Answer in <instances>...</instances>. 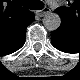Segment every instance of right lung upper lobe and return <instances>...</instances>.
Returning a JSON list of instances; mask_svg holds the SVG:
<instances>
[{"mask_svg": "<svg viewBox=\"0 0 80 80\" xmlns=\"http://www.w3.org/2000/svg\"><path fill=\"white\" fill-rule=\"evenodd\" d=\"M14 22H16V24H17V22H18L17 27H19V28L23 26V25H22L23 23L19 22V20H18V21H14ZM26 25H27V24H25L24 26H26ZM24 26H23V27H24Z\"/></svg>", "mask_w": 80, "mask_h": 80, "instance_id": "right-lung-upper-lobe-1", "label": "right lung upper lobe"}]
</instances>
